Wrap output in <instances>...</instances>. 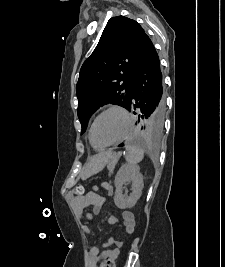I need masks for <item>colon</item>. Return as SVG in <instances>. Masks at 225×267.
Masks as SVG:
<instances>
[{"label": "colon", "instance_id": "1", "mask_svg": "<svg viewBox=\"0 0 225 267\" xmlns=\"http://www.w3.org/2000/svg\"><path fill=\"white\" fill-rule=\"evenodd\" d=\"M73 194L76 197H82L84 194V187L82 185H77L73 189ZM106 267H115V262L113 260H108L106 262Z\"/></svg>", "mask_w": 225, "mask_h": 267}]
</instances>
